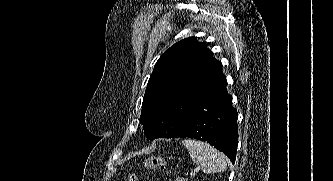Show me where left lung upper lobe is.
Segmentation results:
<instances>
[{
	"mask_svg": "<svg viewBox=\"0 0 333 181\" xmlns=\"http://www.w3.org/2000/svg\"><path fill=\"white\" fill-rule=\"evenodd\" d=\"M222 64L205 43L185 38L161 55L150 76L140 116L150 140L171 137L208 101L223 80Z\"/></svg>",
	"mask_w": 333,
	"mask_h": 181,
	"instance_id": "left-lung-upper-lobe-1",
	"label": "left lung upper lobe"
}]
</instances>
